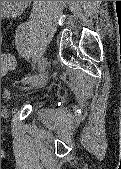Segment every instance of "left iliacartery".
I'll list each match as a JSON object with an SVG mask.
<instances>
[{
  "instance_id": "44dca946",
  "label": "left iliac artery",
  "mask_w": 121,
  "mask_h": 169,
  "mask_svg": "<svg viewBox=\"0 0 121 169\" xmlns=\"http://www.w3.org/2000/svg\"><path fill=\"white\" fill-rule=\"evenodd\" d=\"M18 29L19 30H16L15 32L16 34H15V43H14L15 48L14 49L15 51H17L18 54H24L23 56L25 57L26 50L24 48L23 39H24L25 31L27 28L26 26H19ZM45 68L46 66L39 62V69H35V74L23 78L22 82L24 84H28L29 82L35 80L39 74H42Z\"/></svg>"
}]
</instances>
